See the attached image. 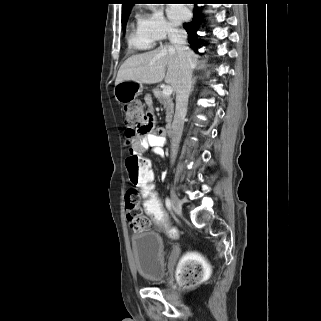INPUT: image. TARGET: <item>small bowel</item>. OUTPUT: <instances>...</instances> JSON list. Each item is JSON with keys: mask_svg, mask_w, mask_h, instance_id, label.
I'll use <instances>...</instances> for the list:
<instances>
[{"mask_svg": "<svg viewBox=\"0 0 321 321\" xmlns=\"http://www.w3.org/2000/svg\"><path fill=\"white\" fill-rule=\"evenodd\" d=\"M146 102L149 104L151 100L147 99ZM126 139L129 152L140 154L151 149L154 153L160 154L162 151L161 148L165 143V131L162 128H157L153 132L146 133L142 136H135L126 133Z\"/></svg>", "mask_w": 321, "mask_h": 321, "instance_id": "obj_1", "label": "small bowel"}]
</instances>
